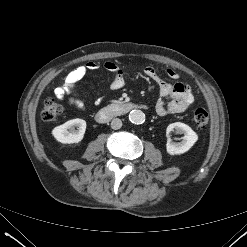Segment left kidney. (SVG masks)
Returning a JSON list of instances; mask_svg holds the SVG:
<instances>
[{"label":"left kidney","mask_w":247,"mask_h":247,"mask_svg":"<svg viewBox=\"0 0 247 247\" xmlns=\"http://www.w3.org/2000/svg\"><path fill=\"white\" fill-rule=\"evenodd\" d=\"M175 131L177 134H184L183 140L179 143H173L170 137V132ZM167 144L166 149L170 155H180L187 152L198 140V135L188 125L175 122L169 124L166 129Z\"/></svg>","instance_id":"5707ae66"}]
</instances>
